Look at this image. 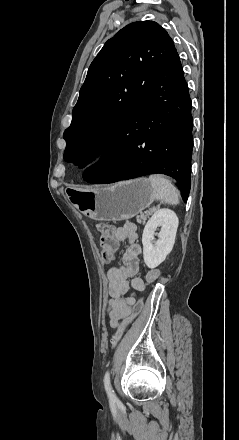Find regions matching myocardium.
Instances as JSON below:
<instances>
[{
  "mask_svg": "<svg viewBox=\"0 0 239 440\" xmlns=\"http://www.w3.org/2000/svg\"><path fill=\"white\" fill-rule=\"evenodd\" d=\"M106 153V147L101 145L93 146L84 154L83 161L87 166H94L106 156Z\"/></svg>",
  "mask_w": 239,
  "mask_h": 440,
  "instance_id": "obj_1",
  "label": "myocardium"
}]
</instances>
